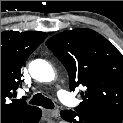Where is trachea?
Listing matches in <instances>:
<instances>
[{
    "instance_id": "obj_1",
    "label": "trachea",
    "mask_w": 123,
    "mask_h": 123,
    "mask_svg": "<svg viewBox=\"0 0 123 123\" xmlns=\"http://www.w3.org/2000/svg\"><path fill=\"white\" fill-rule=\"evenodd\" d=\"M32 105H38L42 106L46 109H53L54 103L51 99L44 97L42 94L38 93L32 97V99L29 101Z\"/></svg>"
}]
</instances>
